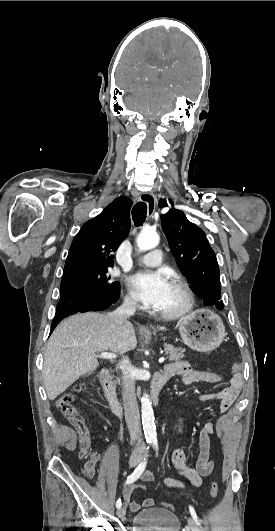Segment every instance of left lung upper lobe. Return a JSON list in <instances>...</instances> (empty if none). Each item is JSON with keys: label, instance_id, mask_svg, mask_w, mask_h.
Instances as JSON below:
<instances>
[{"label": "left lung upper lobe", "instance_id": "left-lung-upper-lobe-1", "mask_svg": "<svg viewBox=\"0 0 275 531\" xmlns=\"http://www.w3.org/2000/svg\"><path fill=\"white\" fill-rule=\"evenodd\" d=\"M169 202L173 206V202ZM159 206L167 207V201L160 200ZM161 220L170 249L181 272L190 282L192 291L206 305L223 309L219 267L204 231L175 208L163 214Z\"/></svg>", "mask_w": 275, "mask_h": 531}]
</instances>
